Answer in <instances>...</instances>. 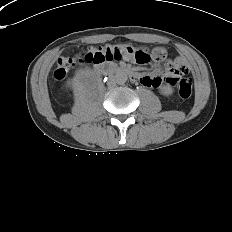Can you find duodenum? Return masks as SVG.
Here are the masks:
<instances>
[{"mask_svg":"<svg viewBox=\"0 0 232 232\" xmlns=\"http://www.w3.org/2000/svg\"><path fill=\"white\" fill-rule=\"evenodd\" d=\"M95 72L99 76H103L105 74H125L128 75L132 80H138V74L133 70L126 67H112L108 65L96 66Z\"/></svg>","mask_w":232,"mask_h":232,"instance_id":"410a0bca","label":"duodenum"}]
</instances>
